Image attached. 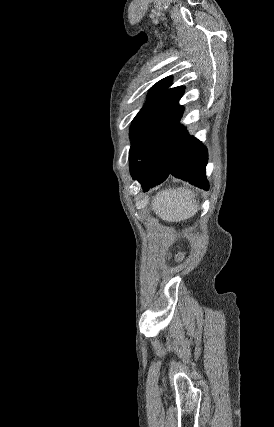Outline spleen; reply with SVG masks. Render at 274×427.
Listing matches in <instances>:
<instances>
[{"label":"spleen","mask_w":274,"mask_h":427,"mask_svg":"<svg viewBox=\"0 0 274 427\" xmlns=\"http://www.w3.org/2000/svg\"><path fill=\"white\" fill-rule=\"evenodd\" d=\"M152 210L165 221H181L188 219L198 210L195 194L192 190L176 188L162 190L152 200Z\"/></svg>","instance_id":"obj_1"}]
</instances>
